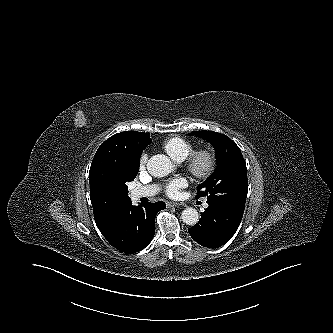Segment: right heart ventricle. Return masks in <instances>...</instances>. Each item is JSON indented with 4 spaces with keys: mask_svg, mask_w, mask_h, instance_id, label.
Here are the masks:
<instances>
[{
    "mask_svg": "<svg viewBox=\"0 0 333 333\" xmlns=\"http://www.w3.org/2000/svg\"><path fill=\"white\" fill-rule=\"evenodd\" d=\"M163 150L176 162L184 161L193 151V144L178 136L170 137L164 141Z\"/></svg>",
    "mask_w": 333,
    "mask_h": 333,
    "instance_id": "e07e8e85",
    "label": "right heart ventricle"
}]
</instances>
